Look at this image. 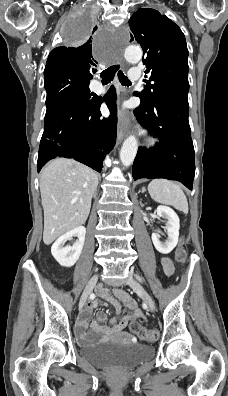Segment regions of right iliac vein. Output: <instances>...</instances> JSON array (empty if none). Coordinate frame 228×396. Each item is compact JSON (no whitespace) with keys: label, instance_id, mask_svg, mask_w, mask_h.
<instances>
[{"label":"right iliac vein","instance_id":"right-iliac-vein-1","mask_svg":"<svg viewBox=\"0 0 228 396\" xmlns=\"http://www.w3.org/2000/svg\"><path fill=\"white\" fill-rule=\"evenodd\" d=\"M98 281V275H94L91 277V279L88 281L82 295L80 298V302H79V310H82V308L84 307L87 297L88 295L91 293V291L93 290L94 286L96 285Z\"/></svg>","mask_w":228,"mask_h":396}]
</instances>
